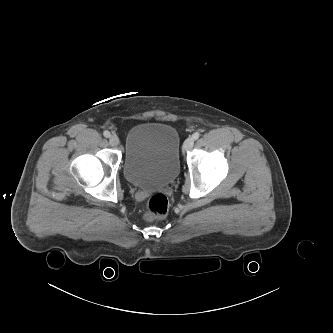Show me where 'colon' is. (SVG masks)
I'll return each mask as SVG.
<instances>
[{
    "label": "colon",
    "instance_id": "obj_1",
    "mask_svg": "<svg viewBox=\"0 0 333 333\" xmlns=\"http://www.w3.org/2000/svg\"><path fill=\"white\" fill-rule=\"evenodd\" d=\"M168 199L163 194L153 195L147 204L144 218L148 221H157L166 217L168 213Z\"/></svg>",
    "mask_w": 333,
    "mask_h": 333
}]
</instances>
